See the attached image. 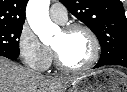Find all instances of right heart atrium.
<instances>
[{"instance_id": "1", "label": "right heart atrium", "mask_w": 127, "mask_h": 92, "mask_svg": "<svg viewBox=\"0 0 127 92\" xmlns=\"http://www.w3.org/2000/svg\"><path fill=\"white\" fill-rule=\"evenodd\" d=\"M18 50L22 62L31 69L44 71L51 65V48L45 45L27 24L23 25L20 31Z\"/></svg>"}]
</instances>
